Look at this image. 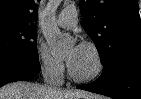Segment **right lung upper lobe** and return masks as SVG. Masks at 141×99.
Masks as SVG:
<instances>
[{
	"instance_id": "1",
	"label": "right lung upper lobe",
	"mask_w": 141,
	"mask_h": 99,
	"mask_svg": "<svg viewBox=\"0 0 141 99\" xmlns=\"http://www.w3.org/2000/svg\"><path fill=\"white\" fill-rule=\"evenodd\" d=\"M40 0H0V25L37 26V5Z\"/></svg>"
}]
</instances>
